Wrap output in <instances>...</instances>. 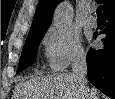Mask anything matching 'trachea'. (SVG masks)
Segmentation results:
<instances>
[{
	"label": "trachea",
	"mask_w": 115,
	"mask_h": 99,
	"mask_svg": "<svg viewBox=\"0 0 115 99\" xmlns=\"http://www.w3.org/2000/svg\"><path fill=\"white\" fill-rule=\"evenodd\" d=\"M96 13L98 16H102V6L101 5L97 8Z\"/></svg>",
	"instance_id": "obj_1"
}]
</instances>
